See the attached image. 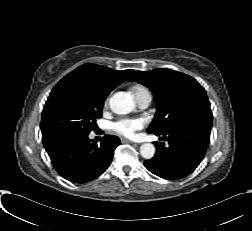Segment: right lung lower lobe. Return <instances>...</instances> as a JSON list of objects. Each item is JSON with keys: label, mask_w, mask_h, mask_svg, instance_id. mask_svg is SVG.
<instances>
[{"label": "right lung lower lobe", "mask_w": 252, "mask_h": 231, "mask_svg": "<svg viewBox=\"0 0 252 231\" xmlns=\"http://www.w3.org/2000/svg\"><path fill=\"white\" fill-rule=\"evenodd\" d=\"M118 137L106 135L100 146L86 136L65 140L48 150L58 173L75 183H85L101 175L110 165Z\"/></svg>", "instance_id": "obj_1"}]
</instances>
